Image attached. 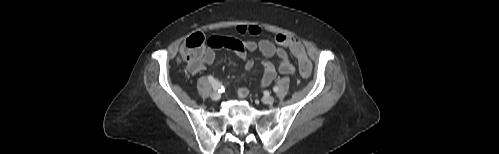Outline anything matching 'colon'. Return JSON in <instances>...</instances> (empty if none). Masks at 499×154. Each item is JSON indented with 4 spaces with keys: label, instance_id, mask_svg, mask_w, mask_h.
Returning a JSON list of instances; mask_svg holds the SVG:
<instances>
[{
    "label": "colon",
    "instance_id": "obj_1",
    "mask_svg": "<svg viewBox=\"0 0 499 154\" xmlns=\"http://www.w3.org/2000/svg\"><path fill=\"white\" fill-rule=\"evenodd\" d=\"M275 41L282 47L287 48L297 58L301 76L309 77L312 72V64L306 55L303 45L297 39L287 34L276 35ZM205 46L206 39L202 33L192 34L182 43L180 60L188 66H199L205 54Z\"/></svg>",
    "mask_w": 499,
    "mask_h": 154
}]
</instances>
